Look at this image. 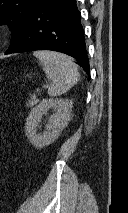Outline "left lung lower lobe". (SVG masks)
Wrapping results in <instances>:
<instances>
[{"label":"left lung lower lobe","mask_w":128,"mask_h":213,"mask_svg":"<svg viewBox=\"0 0 128 213\" xmlns=\"http://www.w3.org/2000/svg\"><path fill=\"white\" fill-rule=\"evenodd\" d=\"M53 50L70 55L89 74L81 14L76 0H38L5 54Z\"/></svg>","instance_id":"0a47b994"}]
</instances>
